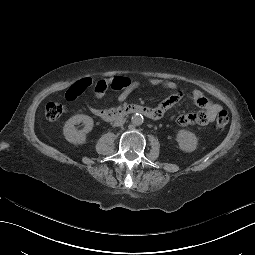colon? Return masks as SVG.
Segmentation results:
<instances>
[{
  "label": "colon",
  "instance_id": "5ec220e1",
  "mask_svg": "<svg viewBox=\"0 0 255 255\" xmlns=\"http://www.w3.org/2000/svg\"><path fill=\"white\" fill-rule=\"evenodd\" d=\"M111 87L115 89L122 88L126 81L123 77H114L108 78L105 80ZM95 83L92 80L85 79L75 84L74 88L76 91H82L84 88L92 87ZM65 111V108L62 104L57 102H50L46 105L45 115L48 120H56L58 119ZM229 122V116L226 111H220L215 124L214 129L217 131L223 130Z\"/></svg>",
  "mask_w": 255,
  "mask_h": 255
}]
</instances>
